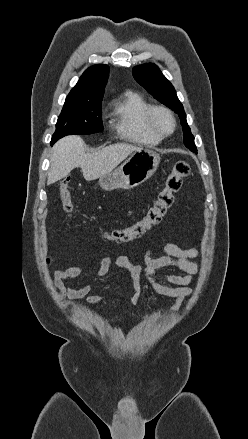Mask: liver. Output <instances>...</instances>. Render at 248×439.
<instances>
[{"instance_id":"obj_1","label":"liver","mask_w":248,"mask_h":439,"mask_svg":"<svg viewBox=\"0 0 248 439\" xmlns=\"http://www.w3.org/2000/svg\"><path fill=\"white\" fill-rule=\"evenodd\" d=\"M140 149L141 147L131 144L117 143L89 153L80 136L64 137L52 149L47 184L63 179L76 167L82 169L85 180L98 179L113 171L132 152Z\"/></svg>"}]
</instances>
